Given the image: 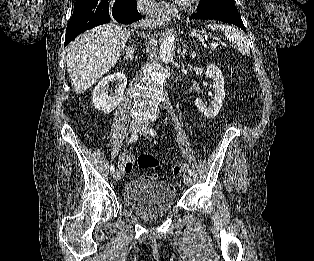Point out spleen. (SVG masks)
Listing matches in <instances>:
<instances>
[{
  "instance_id": "3e777b00",
  "label": "spleen",
  "mask_w": 314,
  "mask_h": 261,
  "mask_svg": "<svg viewBox=\"0 0 314 261\" xmlns=\"http://www.w3.org/2000/svg\"><path fill=\"white\" fill-rule=\"evenodd\" d=\"M208 28L221 30L225 37L231 41L242 55H248L250 48L243 32L229 25L209 24Z\"/></svg>"
}]
</instances>
